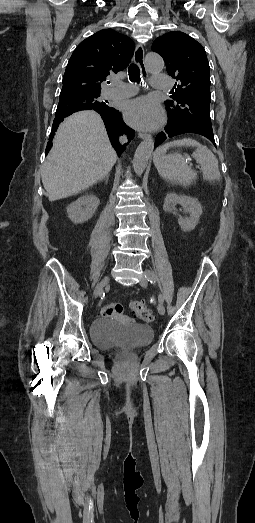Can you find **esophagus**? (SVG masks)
<instances>
[{"instance_id":"34e87169","label":"esophagus","mask_w":255,"mask_h":523,"mask_svg":"<svg viewBox=\"0 0 255 523\" xmlns=\"http://www.w3.org/2000/svg\"><path fill=\"white\" fill-rule=\"evenodd\" d=\"M134 62L135 64L141 69V71H146L145 63H144V48L141 44H138L135 48L134 52ZM139 138L142 139H149L150 134L145 132H140L138 134Z\"/></svg>"}]
</instances>
